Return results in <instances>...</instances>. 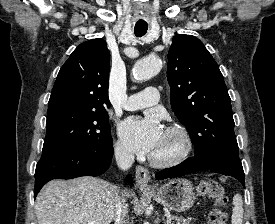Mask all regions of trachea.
<instances>
[{
    "mask_svg": "<svg viewBox=\"0 0 275 224\" xmlns=\"http://www.w3.org/2000/svg\"><path fill=\"white\" fill-rule=\"evenodd\" d=\"M148 29L147 25H135L134 33L137 37H141L146 34Z\"/></svg>",
    "mask_w": 275,
    "mask_h": 224,
    "instance_id": "3493384b",
    "label": "trachea"
}]
</instances>
